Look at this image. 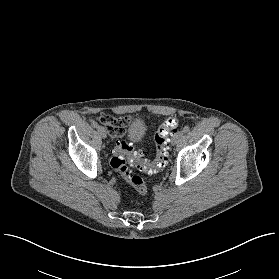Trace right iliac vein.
Listing matches in <instances>:
<instances>
[{
    "label": "right iliac vein",
    "instance_id": "1",
    "mask_svg": "<svg viewBox=\"0 0 279 279\" xmlns=\"http://www.w3.org/2000/svg\"><path fill=\"white\" fill-rule=\"evenodd\" d=\"M98 132H99V134H100V136L102 137V138H106L107 137V131H106V129L104 128V127H102V126H99L98 127Z\"/></svg>",
    "mask_w": 279,
    "mask_h": 279
}]
</instances>
